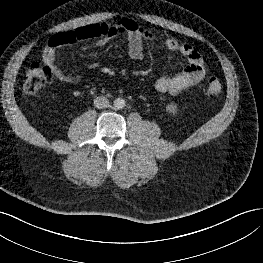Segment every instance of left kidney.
I'll return each mask as SVG.
<instances>
[{
	"mask_svg": "<svg viewBox=\"0 0 263 263\" xmlns=\"http://www.w3.org/2000/svg\"><path fill=\"white\" fill-rule=\"evenodd\" d=\"M168 110L170 112H172V113H175L176 112V107L171 105V106L168 107Z\"/></svg>",
	"mask_w": 263,
	"mask_h": 263,
	"instance_id": "left-kidney-1",
	"label": "left kidney"
}]
</instances>
